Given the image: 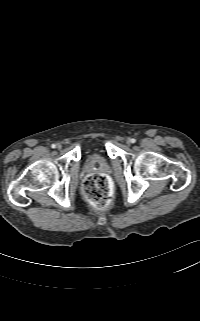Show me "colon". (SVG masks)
Segmentation results:
<instances>
[{"label": "colon", "mask_w": 200, "mask_h": 321, "mask_svg": "<svg viewBox=\"0 0 200 321\" xmlns=\"http://www.w3.org/2000/svg\"><path fill=\"white\" fill-rule=\"evenodd\" d=\"M83 194L88 203L97 208L107 207L111 202L110 183L103 174H92L85 178Z\"/></svg>", "instance_id": "1"}]
</instances>
